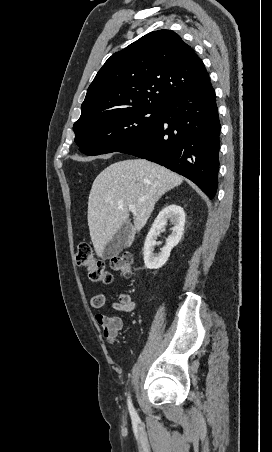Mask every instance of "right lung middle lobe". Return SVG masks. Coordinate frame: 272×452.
<instances>
[{
  "label": "right lung middle lobe",
  "mask_w": 272,
  "mask_h": 452,
  "mask_svg": "<svg viewBox=\"0 0 272 452\" xmlns=\"http://www.w3.org/2000/svg\"><path fill=\"white\" fill-rule=\"evenodd\" d=\"M161 111V107L138 106L77 121L75 142L90 156L119 151L149 130Z\"/></svg>",
  "instance_id": "dd1d6c3e"
}]
</instances>
